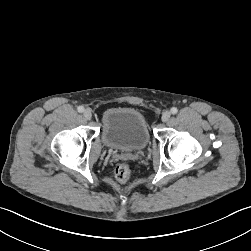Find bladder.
I'll use <instances>...</instances> for the list:
<instances>
[{"mask_svg": "<svg viewBox=\"0 0 251 251\" xmlns=\"http://www.w3.org/2000/svg\"><path fill=\"white\" fill-rule=\"evenodd\" d=\"M101 136L108 147L122 151L143 149L150 141L145 117L130 107L107 109L102 116Z\"/></svg>", "mask_w": 251, "mask_h": 251, "instance_id": "bladder-1", "label": "bladder"}]
</instances>
